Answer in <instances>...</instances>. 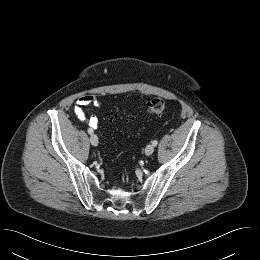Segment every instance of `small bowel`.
Returning <instances> with one entry per match:
<instances>
[{
	"mask_svg": "<svg viewBox=\"0 0 260 260\" xmlns=\"http://www.w3.org/2000/svg\"><path fill=\"white\" fill-rule=\"evenodd\" d=\"M100 105V100L95 95H82L79 97L73 107L76 118L80 121H86L90 129L98 127V119L96 116H88L86 108Z\"/></svg>",
	"mask_w": 260,
	"mask_h": 260,
	"instance_id": "c3829d8e",
	"label": "small bowel"
}]
</instances>
